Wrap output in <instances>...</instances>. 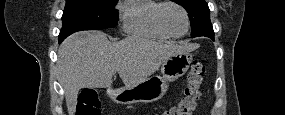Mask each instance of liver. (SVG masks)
<instances>
[{
    "label": "liver",
    "mask_w": 285,
    "mask_h": 115,
    "mask_svg": "<svg viewBox=\"0 0 285 115\" xmlns=\"http://www.w3.org/2000/svg\"><path fill=\"white\" fill-rule=\"evenodd\" d=\"M198 47L140 37L111 43L100 31L69 36L59 47L57 61L69 115L75 113L81 88H109L116 72L125 86H135L154 74L168 58Z\"/></svg>",
    "instance_id": "6515ba94"
}]
</instances>
